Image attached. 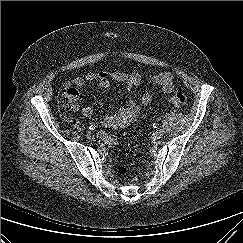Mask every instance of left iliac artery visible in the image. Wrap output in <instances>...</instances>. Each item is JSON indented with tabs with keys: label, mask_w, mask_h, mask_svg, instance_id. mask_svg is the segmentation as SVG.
<instances>
[{
	"label": "left iliac artery",
	"mask_w": 243,
	"mask_h": 243,
	"mask_svg": "<svg viewBox=\"0 0 243 243\" xmlns=\"http://www.w3.org/2000/svg\"><path fill=\"white\" fill-rule=\"evenodd\" d=\"M153 127H154V128H157V127H158V124H157V123H154V124H153Z\"/></svg>",
	"instance_id": "1"
}]
</instances>
